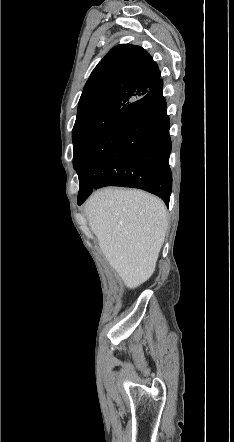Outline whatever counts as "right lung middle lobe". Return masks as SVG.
I'll use <instances>...</instances> for the list:
<instances>
[{
  "label": "right lung middle lobe",
  "instance_id": "dd1d6c3e",
  "mask_svg": "<svg viewBox=\"0 0 234 442\" xmlns=\"http://www.w3.org/2000/svg\"><path fill=\"white\" fill-rule=\"evenodd\" d=\"M118 111H102L76 120L72 132L75 169L103 135Z\"/></svg>",
  "mask_w": 234,
  "mask_h": 442
}]
</instances>
